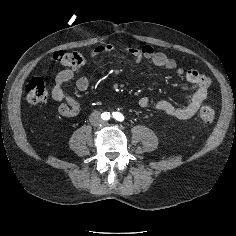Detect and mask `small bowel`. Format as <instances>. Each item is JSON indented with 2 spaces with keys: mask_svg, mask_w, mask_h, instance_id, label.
<instances>
[{
  "mask_svg": "<svg viewBox=\"0 0 236 236\" xmlns=\"http://www.w3.org/2000/svg\"><path fill=\"white\" fill-rule=\"evenodd\" d=\"M117 49L119 48L111 43L98 45L91 51V58L94 59L103 53L113 52ZM120 50L131 56L135 62L146 59L150 60L158 67L175 70L179 76L185 78L187 83L194 86V92L192 93L189 102L184 106L175 105L167 100H158L153 103L149 97H141L138 101L140 107L147 108L153 104L157 110L178 119H189L197 113L201 104L207 97L208 87L210 85V80L207 76L195 69L185 70L178 67L177 62L173 58H170L161 51L155 50L150 45H145L140 48L124 47L120 48ZM73 77L74 73L72 70L66 69L60 71L55 78L51 92L52 98L59 103V114L64 117L76 116L80 111L78 101L64 91V86L71 81ZM89 86L90 79L87 76H81L76 80V87L80 91H87Z\"/></svg>",
  "mask_w": 236,
  "mask_h": 236,
  "instance_id": "c3829d8e",
  "label": "small bowel"
}]
</instances>
